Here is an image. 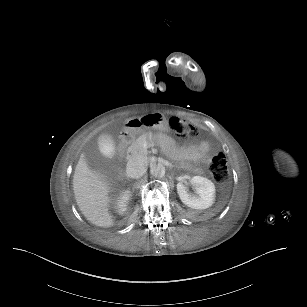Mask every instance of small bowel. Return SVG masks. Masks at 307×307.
<instances>
[{
	"label": "small bowel",
	"mask_w": 307,
	"mask_h": 307,
	"mask_svg": "<svg viewBox=\"0 0 307 307\" xmlns=\"http://www.w3.org/2000/svg\"><path fill=\"white\" fill-rule=\"evenodd\" d=\"M188 153L197 162H206L209 158L210 147L206 141L198 144H191L188 147Z\"/></svg>",
	"instance_id": "small-bowel-1"
}]
</instances>
